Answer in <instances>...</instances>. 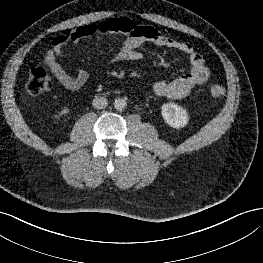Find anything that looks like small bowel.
Instances as JSON below:
<instances>
[{"instance_id": "small-bowel-1", "label": "small bowel", "mask_w": 263, "mask_h": 263, "mask_svg": "<svg viewBox=\"0 0 263 263\" xmlns=\"http://www.w3.org/2000/svg\"><path fill=\"white\" fill-rule=\"evenodd\" d=\"M99 34H121L125 37L117 54L118 60L141 59L140 47L145 43L177 50L188 57L191 67L187 73L170 81L159 80L154 83L153 91L158 96L170 99L183 98L195 86L205 83L209 77L210 72L202 55L190 43L167 36L154 27L137 25L128 18H114L94 25L80 26L69 33L53 38L51 48L47 51L44 60L65 88L69 90L82 88L89 78V72L78 69L75 75H70L58 62L63 56L64 48Z\"/></svg>"}]
</instances>
